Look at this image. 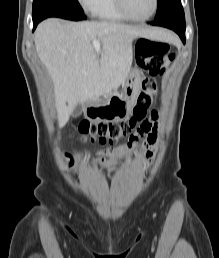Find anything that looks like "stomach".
<instances>
[{"label": "stomach", "mask_w": 219, "mask_h": 258, "mask_svg": "<svg viewBox=\"0 0 219 258\" xmlns=\"http://www.w3.org/2000/svg\"><path fill=\"white\" fill-rule=\"evenodd\" d=\"M142 72L136 63L120 91L112 90L103 98L91 99L84 108L85 116L92 121H119L125 119L135 105L141 90Z\"/></svg>", "instance_id": "1"}]
</instances>
